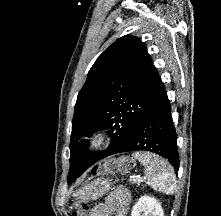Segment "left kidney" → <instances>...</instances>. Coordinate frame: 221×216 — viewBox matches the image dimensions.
Listing matches in <instances>:
<instances>
[{
	"label": "left kidney",
	"instance_id": "obj_1",
	"mask_svg": "<svg viewBox=\"0 0 221 216\" xmlns=\"http://www.w3.org/2000/svg\"><path fill=\"white\" fill-rule=\"evenodd\" d=\"M131 216H164L161 204L153 197L142 196L133 206Z\"/></svg>",
	"mask_w": 221,
	"mask_h": 216
}]
</instances>
